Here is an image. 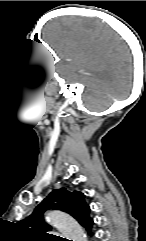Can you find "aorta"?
Listing matches in <instances>:
<instances>
[{
  "label": "aorta",
  "instance_id": "1",
  "mask_svg": "<svg viewBox=\"0 0 146 241\" xmlns=\"http://www.w3.org/2000/svg\"><path fill=\"white\" fill-rule=\"evenodd\" d=\"M47 220L67 239L72 241H87L83 229L68 214L59 210H51L47 213Z\"/></svg>",
  "mask_w": 146,
  "mask_h": 241
}]
</instances>
